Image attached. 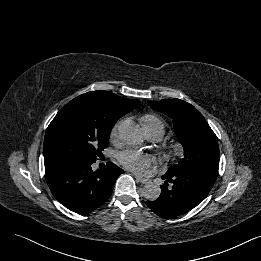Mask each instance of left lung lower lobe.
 <instances>
[{
    "mask_svg": "<svg viewBox=\"0 0 261 261\" xmlns=\"http://www.w3.org/2000/svg\"><path fill=\"white\" fill-rule=\"evenodd\" d=\"M217 176L198 169L166 173L161 194L147 206L158 216L174 218L185 214L201 203L212 189ZM168 183L172 187L168 188Z\"/></svg>",
    "mask_w": 261,
    "mask_h": 261,
    "instance_id": "left-lung-lower-lobe-1",
    "label": "left lung lower lobe"
}]
</instances>
